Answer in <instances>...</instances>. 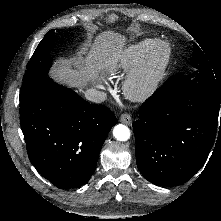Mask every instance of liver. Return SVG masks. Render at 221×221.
Returning a JSON list of instances; mask_svg holds the SVG:
<instances>
[{
	"mask_svg": "<svg viewBox=\"0 0 221 221\" xmlns=\"http://www.w3.org/2000/svg\"><path fill=\"white\" fill-rule=\"evenodd\" d=\"M125 37L113 31L101 33L84 62L73 66L67 60L59 61L51 70V77L72 88L82 90L86 83L94 80L101 70L113 71L123 59Z\"/></svg>",
	"mask_w": 221,
	"mask_h": 221,
	"instance_id": "obj_1",
	"label": "liver"
}]
</instances>
